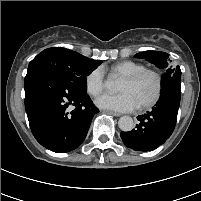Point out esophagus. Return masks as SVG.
I'll list each match as a JSON object with an SVG mask.
<instances>
[{
    "mask_svg": "<svg viewBox=\"0 0 201 201\" xmlns=\"http://www.w3.org/2000/svg\"><path fill=\"white\" fill-rule=\"evenodd\" d=\"M108 114L112 115V116H115V117H119L121 116L120 113H117V112H113V111H107Z\"/></svg>",
    "mask_w": 201,
    "mask_h": 201,
    "instance_id": "obj_1",
    "label": "esophagus"
}]
</instances>
